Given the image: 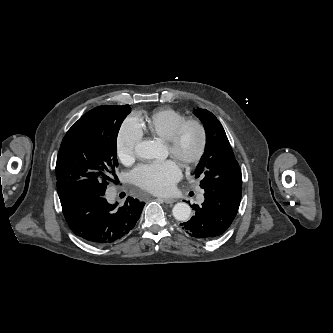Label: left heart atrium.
Wrapping results in <instances>:
<instances>
[{
	"label": "left heart atrium",
	"instance_id": "obj_1",
	"mask_svg": "<svg viewBox=\"0 0 333 333\" xmlns=\"http://www.w3.org/2000/svg\"><path fill=\"white\" fill-rule=\"evenodd\" d=\"M180 177L181 168L174 160L141 164L131 172V179L137 186L155 194L172 191Z\"/></svg>",
	"mask_w": 333,
	"mask_h": 333
}]
</instances>
